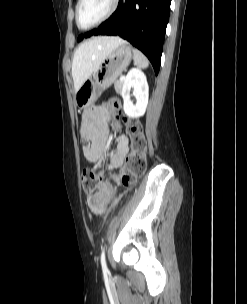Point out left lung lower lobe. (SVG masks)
<instances>
[{
  "label": "left lung lower lobe",
  "mask_w": 247,
  "mask_h": 304,
  "mask_svg": "<svg viewBox=\"0 0 247 304\" xmlns=\"http://www.w3.org/2000/svg\"><path fill=\"white\" fill-rule=\"evenodd\" d=\"M171 0H119L117 10L92 35H119L141 50L159 72Z\"/></svg>",
  "instance_id": "0a47b994"
}]
</instances>
